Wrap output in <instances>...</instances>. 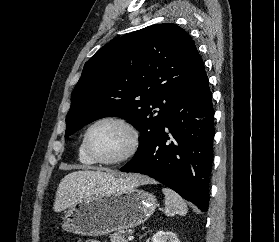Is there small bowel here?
<instances>
[{
	"mask_svg": "<svg viewBox=\"0 0 279 242\" xmlns=\"http://www.w3.org/2000/svg\"><path fill=\"white\" fill-rule=\"evenodd\" d=\"M85 242H99V241H97V240H87Z\"/></svg>",
	"mask_w": 279,
	"mask_h": 242,
	"instance_id": "1",
	"label": "small bowel"
}]
</instances>
